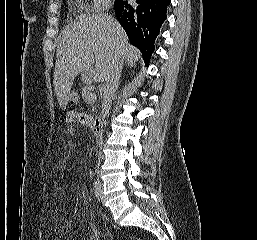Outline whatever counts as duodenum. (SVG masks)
I'll list each match as a JSON object with an SVG mask.
<instances>
[{
    "label": "duodenum",
    "mask_w": 257,
    "mask_h": 240,
    "mask_svg": "<svg viewBox=\"0 0 257 240\" xmlns=\"http://www.w3.org/2000/svg\"><path fill=\"white\" fill-rule=\"evenodd\" d=\"M91 128L93 131L94 136L99 139L102 136V118L101 116H95L92 120H91Z\"/></svg>",
    "instance_id": "duodenum-1"
}]
</instances>
